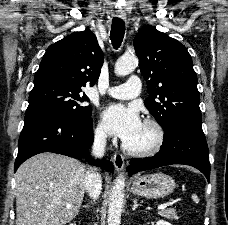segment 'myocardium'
Wrapping results in <instances>:
<instances>
[{"label": "myocardium", "instance_id": "1", "mask_svg": "<svg viewBox=\"0 0 228 225\" xmlns=\"http://www.w3.org/2000/svg\"><path fill=\"white\" fill-rule=\"evenodd\" d=\"M143 125L149 129H151L155 136L154 143L146 148H138L133 147L129 143H124L123 148L124 150L132 155L137 156H152L158 153L164 146L165 142V132L163 127L159 122L153 119H146Z\"/></svg>", "mask_w": 228, "mask_h": 225}]
</instances>
